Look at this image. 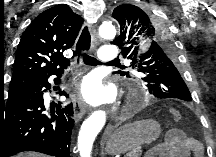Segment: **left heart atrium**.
I'll return each mask as SVG.
<instances>
[{
  "label": "left heart atrium",
  "mask_w": 216,
  "mask_h": 157,
  "mask_svg": "<svg viewBox=\"0 0 216 157\" xmlns=\"http://www.w3.org/2000/svg\"><path fill=\"white\" fill-rule=\"evenodd\" d=\"M113 91L105 87L96 77H88L81 87V96L88 104L99 105L113 98Z\"/></svg>",
  "instance_id": "obj_1"
}]
</instances>
